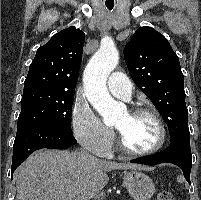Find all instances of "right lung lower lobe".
<instances>
[{"mask_svg": "<svg viewBox=\"0 0 201 200\" xmlns=\"http://www.w3.org/2000/svg\"><path fill=\"white\" fill-rule=\"evenodd\" d=\"M76 143L72 132L48 122L36 121L19 125L13 145L11 176L34 151L42 148L67 149Z\"/></svg>", "mask_w": 201, "mask_h": 200, "instance_id": "right-lung-lower-lobe-1", "label": "right lung lower lobe"}]
</instances>
